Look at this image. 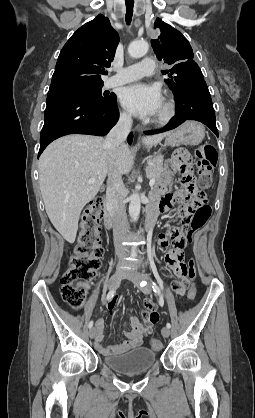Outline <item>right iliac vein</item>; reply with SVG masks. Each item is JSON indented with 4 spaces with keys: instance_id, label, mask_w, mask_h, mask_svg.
<instances>
[{
    "instance_id": "obj_1",
    "label": "right iliac vein",
    "mask_w": 255,
    "mask_h": 418,
    "mask_svg": "<svg viewBox=\"0 0 255 418\" xmlns=\"http://www.w3.org/2000/svg\"><path fill=\"white\" fill-rule=\"evenodd\" d=\"M123 274H124V272L122 270H117L111 276V278L109 279V281H108V288L111 289V290L112 289H115L119 285V283H120V281L122 279ZM94 336H95V328H90V330H89V337L91 339H93Z\"/></svg>"
}]
</instances>
